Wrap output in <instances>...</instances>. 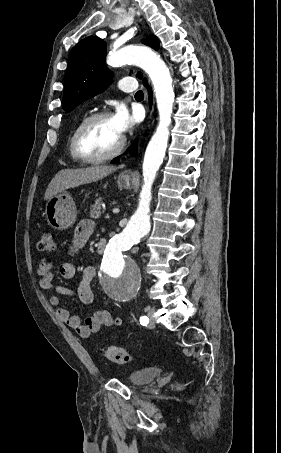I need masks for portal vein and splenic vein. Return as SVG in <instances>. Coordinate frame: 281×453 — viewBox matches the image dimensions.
Returning <instances> with one entry per match:
<instances>
[{
    "instance_id": "portal-vein-and-splenic-vein-1",
    "label": "portal vein and splenic vein",
    "mask_w": 281,
    "mask_h": 453,
    "mask_svg": "<svg viewBox=\"0 0 281 453\" xmlns=\"http://www.w3.org/2000/svg\"><path fill=\"white\" fill-rule=\"evenodd\" d=\"M112 212H115V214H119V208H113Z\"/></svg>"
}]
</instances>
